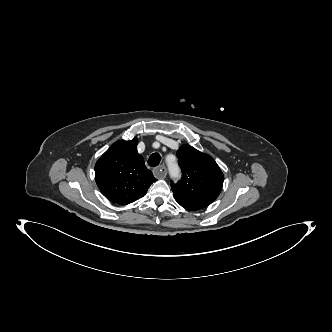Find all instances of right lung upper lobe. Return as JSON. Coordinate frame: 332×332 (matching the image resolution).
<instances>
[{
  "label": "right lung upper lobe",
  "mask_w": 332,
  "mask_h": 332,
  "mask_svg": "<svg viewBox=\"0 0 332 332\" xmlns=\"http://www.w3.org/2000/svg\"><path fill=\"white\" fill-rule=\"evenodd\" d=\"M137 139L115 142L96 162L95 180L110 201L126 205L144 195L156 181L138 154Z\"/></svg>",
  "instance_id": "cb5924a9"
}]
</instances>
